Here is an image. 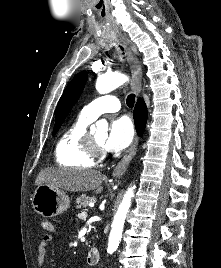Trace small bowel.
<instances>
[{"instance_id": "1", "label": "small bowel", "mask_w": 221, "mask_h": 268, "mask_svg": "<svg viewBox=\"0 0 221 268\" xmlns=\"http://www.w3.org/2000/svg\"><path fill=\"white\" fill-rule=\"evenodd\" d=\"M54 240V228L50 232H46L37 249V263L40 268H45L46 265V255L48 248L52 241Z\"/></svg>"}]
</instances>
